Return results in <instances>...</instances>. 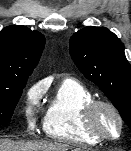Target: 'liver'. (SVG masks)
Here are the masks:
<instances>
[{
    "mask_svg": "<svg viewBox=\"0 0 131 151\" xmlns=\"http://www.w3.org/2000/svg\"><path fill=\"white\" fill-rule=\"evenodd\" d=\"M69 149H71L69 145L57 142H14L0 139V151H68Z\"/></svg>",
    "mask_w": 131,
    "mask_h": 151,
    "instance_id": "1",
    "label": "liver"
}]
</instances>
